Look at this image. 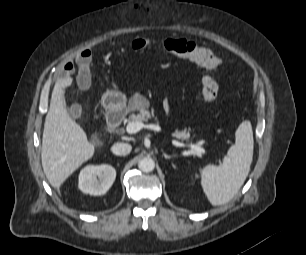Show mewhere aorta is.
<instances>
[{"label": "aorta", "mask_w": 306, "mask_h": 255, "mask_svg": "<svg viewBox=\"0 0 306 255\" xmlns=\"http://www.w3.org/2000/svg\"><path fill=\"white\" fill-rule=\"evenodd\" d=\"M138 168L143 171V172H151L154 170L155 168V162L152 158L150 157H145L142 158L139 162H138Z\"/></svg>", "instance_id": "aorta-1"}]
</instances>
